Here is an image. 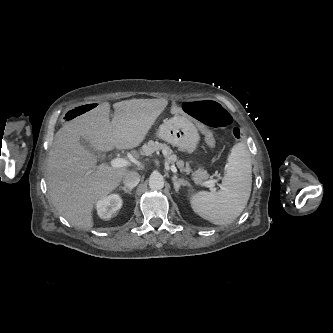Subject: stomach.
Masks as SVG:
<instances>
[{
  "mask_svg": "<svg viewBox=\"0 0 333 333\" xmlns=\"http://www.w3.org/2000/svg\"><path fill=\"white\" fill-rule=\"evenodd\" d=\"M157 136L187 152H195L200 140L197 128L182 116H174L161 124Z\"/></svg>",
  "mask_w": 333,
  "mask_h": 333,
  "instance_id": "0dacf381",
  "label": "stomach"
}]
</instances>
